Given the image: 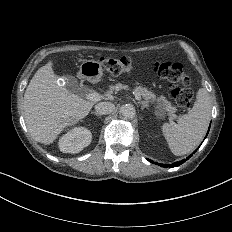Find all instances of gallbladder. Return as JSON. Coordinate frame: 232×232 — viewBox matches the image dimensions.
Listing matches in <instances>:
<instances>
[{
  "label": "gallbladder",
  "mask_w": 232,
  "mask_h": 232,
  "mask_svg": "<svg viewBox=\"0 0 232 232\" xmlns=\"http://www.w3.org/2000/svg\"><path fill=\"white\" fill-rule=\"evenodd\" d=\"M64 87L73 93H76L78 91V82L77 79L73 76H67L64 78Z\"/></svg>",
  "instance_id": "1"
}]
</instances>
